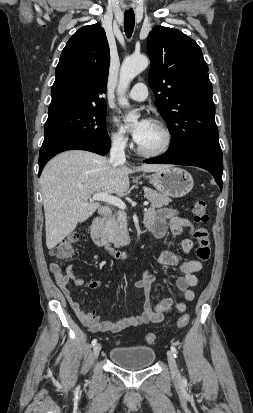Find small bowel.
Segmentation results:
<instances>
[{
    "mask_svg": "<svg viewBox=\"0 0 253 413\" xmlns=\"http://www.w3.org/2000/svg\"><path fill=\"white\" fill-rule=\"evenodd\" d=\"M145 224L149 227L156 238H162L170 230L172 236L178 237L184 228H188L190 234L194 231L192 222L171 208L160 210L150 209L145 216ZM180 249L183 253L189 254L193 249V241L189 238L180 242ZM158 263L166 266H176L179 264V256L175 251H163L157 259ZM202 269V264L197 260H188L180 264L182 276L176 280V287L180 296L186 301H192L195 293L192 290L198 283L195 273ZM50 271L63 295L67 299L74 313L92 332H112L117 333L127 328L138 327L148 323H159L173 309L178 312L186 310L183 301H176L173 297L163 299L154 309L151 307L149 291L155 281L154 275L149 271L144 272L141 279L134 282V287L142 292L143 312L136 317H123L115 322L101 320L96 312H85L79 302L74 298L68 285L71 282L74 286H83L84 280L75 274L74 266L68 265L63 273L60 266L53 262L50 264ZM101 285L99 281H92L87 284L89 288H97Z\"/></svg>",
    "mask_w": 253,
    "mask_h": 413,
    "instance_id": "obj_1",
    "label": "small bowel"
}]
</instances>
